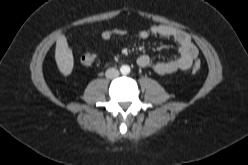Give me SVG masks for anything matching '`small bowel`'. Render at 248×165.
Returning a JSON list of instances; mask_svg holds the SVG:
<instances>
[{
    "label": "small bowel",
    "mask_w": 248,
    "mask_h": 165,
    "mask_svg": "<svg viewBox=\"0 0 248 165\" xmlns=\"http://www.w3.org/2000/svg\"><path fill=\"white\" fill-rule=\"evenodd\" d=\"M128 31L125 29L112 28L101 33L103 40L114 37H125ZM150 35L160 36L174 41L178 47L179 55L171 60L153 61L149 55H140L136 62L141 68H149L160 75L171 74L176 71L188 70L198 56V49L192 42L190 35L180 29L169 25H155L149 30H142L136 34L139 40H145Z\"/></svg>",
    "instance_id": "obj_1"
}]
</instances>
